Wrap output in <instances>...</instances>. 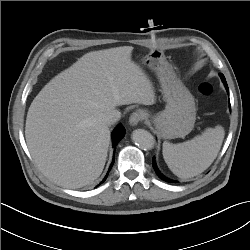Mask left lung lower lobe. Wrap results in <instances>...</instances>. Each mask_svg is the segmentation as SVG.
<instances>
[{
    "mask_svg": "<svg viewBox=\"0 0 250 250\" xmlns=\"http://www.w3.org/2000/svg\"><path fill=\"white\" fill-rule=\"evenodd\" d=\"M219 75H220V77H221L222 82L224 83V86H225L227 92L229 93L228 85H227V82H226V80H225L224 75L221 74V73H220ZM152 166H153L155 172L157 173V175H158L162 180H164V181H166V182H169V183H176V181L170 180V179L166 178L164 175H162V173L158 170V168H157V166H156V162H155V159H154V158H153V164H152Z\"/></svg>",
    "mask_w": 250,
    "mask_h": 250,
    "instance_id": "0a47b994",
    "label": "left lung lower lobe"
}]
</instances>
